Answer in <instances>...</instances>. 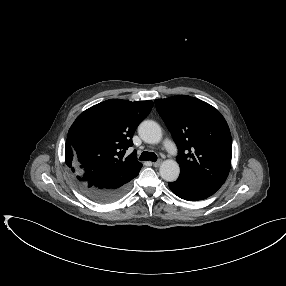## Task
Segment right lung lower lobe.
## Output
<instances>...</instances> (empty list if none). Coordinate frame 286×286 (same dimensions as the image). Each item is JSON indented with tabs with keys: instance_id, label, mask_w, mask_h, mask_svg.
<instances>
[{
	"instance_id": "98d812e1",
	"label": "right lung lower lobe",
	"mask_w": 286,
	"mask_h": 286,
	"mask_svg": "<svg viewBox=\"0 0 286 286\" xmlns=\"http://www.w3.org/2000/svg\"><path fill=\"white\" fill-rule=\"evenodd\" d=\"M141 169V168H140ZM140 170L131 178L118 183H110L105 187L95 186L92 179H85L77 174L75 181L80 191L89 199L97 203H111L120 199L129 189L130 181L135 178Z\"/></svg>"
}]
</instances>
